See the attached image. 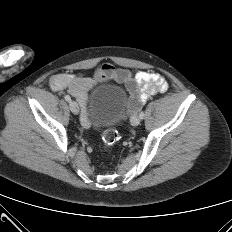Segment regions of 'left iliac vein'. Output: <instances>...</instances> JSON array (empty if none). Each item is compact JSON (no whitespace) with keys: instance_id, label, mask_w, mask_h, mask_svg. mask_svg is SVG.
I'll return each mask as SVG.
<instances>
[{"instance_id":"obj_1","label":"left iliac vein","mask_w":232,"mask_h":232,"mask_svg":"<svg viewBox=\"0 0 232 232\" xmlns=\"http://www.w3.org/2000/svg\"><path fill=\"white\" fill-rule=\"evenodd\" d=\"M133 126H138L140 123V117L138 115H133L130 120Z\"/></svg>"}]
</instances>
